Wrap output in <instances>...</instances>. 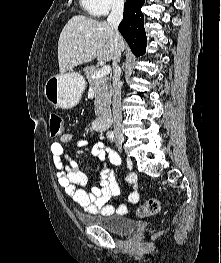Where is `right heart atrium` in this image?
<instances>
[{"label":"right heart atrium","mask_w":221,"mask_h":263,"mask_svg":"<svg viewBox=\"0 0 221 263\" xmlns=\"http://www.w3.org/2000/svg\"><path fill=\"white\" fill-rule=\"evenodd\" d=\"M125 0H93L95 14L104 16L111 10L118 9L123 6Z\"/></svg>","instance_id":"1"}]
</instances>
